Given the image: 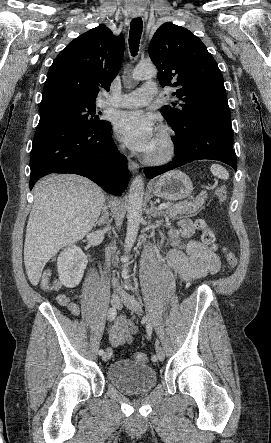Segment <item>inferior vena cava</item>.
<instances>
[{
  "instance_id": "1",
  "label": "inferior vena cava",
  "mask_w": 271,
  "mask_h": 443,
  "mask_svg": "<svg viewBox=\"0 0 271 443\" xmlns=\"http://www.w3.org/2000/svg\"><path fill=\"white\" fill-rule=\"evenodd\" d=\"M121 148H125V146H121ZM102 210H106V208H102ZM112 285H117L116 279L112 282ZM114 293H116V296H121V293H123V290H120V288H115Z\"/></svg>"
}]
</instances>
